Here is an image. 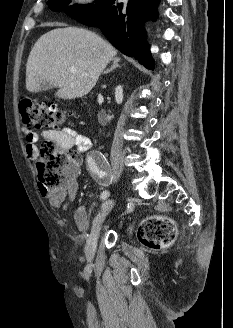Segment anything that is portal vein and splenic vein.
I'll return each instance as SVG.
<instances>
[{
  "instance_id": "1",
  "label": "portal vein and splenic vein",
  "mask_w": 233,
  "mask_h": 328,
  "mask_svg": "<svg viewBox=\"0 0 233 328\" xmlns=\"http://www.w3.org/2000/svg\"><path fill=\"white\" fill-rule=\"evenodd\" d=\"M70 70H71V72H73V73H77V69L74 68V67H72Z\"/></svg>"
}]
</instances>
